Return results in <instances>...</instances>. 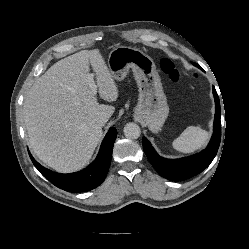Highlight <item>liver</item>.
Masks as SVG:
<instances>
[{
  "label": "liver",
  "instance_id": "obj_1",
  "mask_svg": "<svg viewBox=\"0 0 249 249\" xmlns=\"http://www.w3.org/2000/svg\"><path fill=\"white\" fill-rule=\"evenodd\" d=\"M94 76L100 97L117 100V85L98 49L56 62L25 96L23 119L30 148L57 172H75L88 164L102 136L97 119L110 118L115 111L97 102L89 86Z\"/></svg>",
  "mask_w": 249,
  "mask_h": 249
}]
</instances>
